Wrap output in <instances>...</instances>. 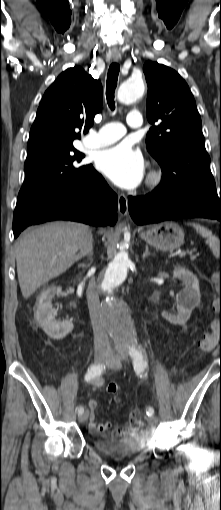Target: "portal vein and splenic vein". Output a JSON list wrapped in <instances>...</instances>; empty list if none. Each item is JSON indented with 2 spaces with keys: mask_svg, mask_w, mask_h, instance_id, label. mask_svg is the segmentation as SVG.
<instances>
[{
  "mask_svg": "<svg viewBox=\"0 0 221 510\" xmlns=\"http://www.w3.org/2000/svg\"><path fill=\"white\" fill-rule=\"evenodd\" d=\"M190 258H191V260H194V259H196V256L195 255H191Z\"/></svg>",
  "mask_w": 221,
  "mask_h": 510,
  "instance_id": "portal-vein-and-splenic-vein-1",
  "label": "portal vein and splenic vein"
}]
</instances>
